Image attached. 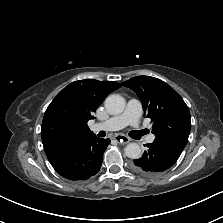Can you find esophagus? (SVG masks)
<instances>
[{"mask_svg": "<svg viewBox=\"0 0 223 223\" xmlns=\"http://www.w3.org/2000/svg\"><path fill=\"white\" fill-rule=\"evenodd\" d=\"M113 138L121 144H127L130 142V139L127 136L122 135V134H117Z\"/></svg>", "mask_w": 223, "mask_h": 223, "instance_id": "obj_1", "label": "esophagus"}]
</instances>
